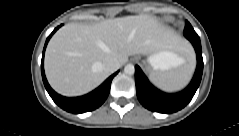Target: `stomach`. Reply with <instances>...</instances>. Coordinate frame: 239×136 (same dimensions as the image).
Here are the masks:
<instances>
[{"instance_id":"0dacf381","label":"stomach","mask_w":239,"mask_h":136,"mask_svg":"<svg viewBox=\"0 0 239 136\" xmlns=\"http://www.w3.org/2000/svg\"><path fill=\"white\" fill-rule=\"evenodd\" d=\"M182 62L183 59L176 53L165 49L157 50L148 57V63L153 69L168 70L180 65Z\"/></svg>"}]
</instances>
